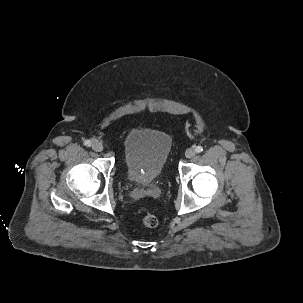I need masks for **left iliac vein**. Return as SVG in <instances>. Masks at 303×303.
<instances>
[{"instance_id":"4c4485c4","label":"left iliac vein","mask_w":303,"mask_h":303,"mask_svg":"<svg viewBox=\"0 0 303 303\" xmlns=\"http://www.w3.org/2000/svg\"><path fill=\"white\" fill-rule=\"evenodd\" d=\"M195 154H196V151H195V149H193V148H188V149L186 150V152H185V156H186L187 158H192V157L195 156Z\"/></svg>"}]
</instances>
